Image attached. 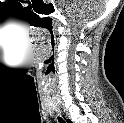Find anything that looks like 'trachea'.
<instances>
[{"label":"trachea","instance_id":"3493384b","mask_svg":"<svg viewBox=\"0 0 124 123\" xmlns=\"http://www.w3.org/2000/svg\"><path fill=\"white\" fill-rule=\"evenodd\" d=\"M58 121H59L60 123H64V120H63L62 118H60V117H58Z\"/></svg>","mask_w":124,"mask_h":123}]
</instances>
